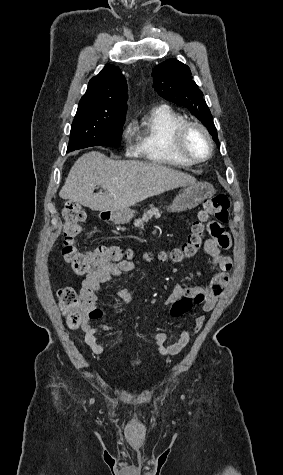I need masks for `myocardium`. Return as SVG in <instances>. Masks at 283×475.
<instances>
[{"instance_id":"f54148a6","label":"myocardium","mask_w":283,"mask_h":475,"mask_svg":"<svg viewBox=\"0 0 283 475\" xmlns=\"http://www.w3.org/2000/svg\"><path fill=\"white\" fill-rule=\"evenodd\" d=\"M192 127L198 129L206 138L209 145L208 154L205 157H201V158L190 157L188 155H182L180 157H172L165 151V145H162L161 154L165 162H205L213 156L214 149H215L213 138L211 134L209 133V131L205 128V126L198 121L185 120L184 122L180 123L171 132V135L169 137L170 142L176 146H182V144L184 143L187 131Z\"/></svg>"}]
</instances>
